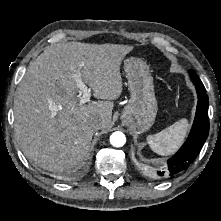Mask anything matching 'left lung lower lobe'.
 Wrapping results in <instances>:
<instances>
[{"label":"left lung lower lobe","mask_w":221,"mask_h":221,"mask_svg":"<svg viewBox=\"0 0 221 221\" xmlns=\"http://www.w3.org/2000/svg\"><path fill=\"white\" fill-rule=\"evenodd\" d=\"M198 95L196 115L190 134L179 149L168 161L163 170L157 171L158 178L173 177L186 170L195 160L209 134L208 103L206 89L202 83H194Z\"/></svg>","instance_id":"obj_1"}]
</instances>
